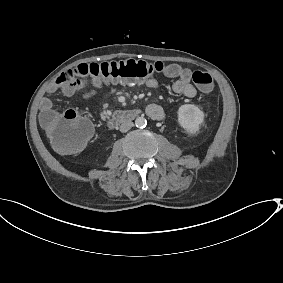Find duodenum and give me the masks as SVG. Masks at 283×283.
<instances>
[{"instance_id": "410a0bca", "label": "duodenum", "mask_w": 283, "mask_h": 283, "mask_svg": "<svg viewBox=\"0 0 283 283\" xmlns=\"http://www.w3.org/2000/svg\"><path fill=\"white\" fill-rule=\"evenodd\" d=\"M141 114L139 109H130L126 111H116L114 112L111 117L108 119L107 125L109 128L114 129L117 126L135 119Z\"/></svg>"}]
</instances>
